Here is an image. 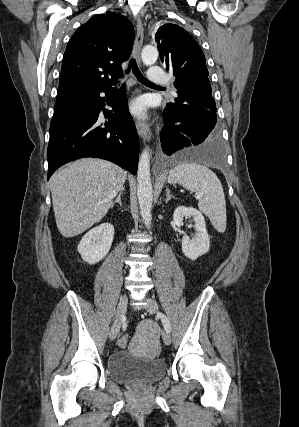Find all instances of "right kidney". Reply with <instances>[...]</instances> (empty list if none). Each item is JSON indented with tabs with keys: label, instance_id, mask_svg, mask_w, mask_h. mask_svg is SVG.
<instances>
[{
	"label": "right kidney",
	"instance_id": "obj_1",
	"mask_svg": "<svg viewBox=\"0 0 299 427\" xmlns=\"http://www.w3.org/2000/svg\"><path fill=\"white\" fill-rule=\"evenodd\" d=\"M113 236L114 227L107 222L91 229L78 245V252L82 259L89 264L101 261L111 248Z\"/></svg>",
	"mask_w": 299,
	"mask_h": 427
}]
</instances>
